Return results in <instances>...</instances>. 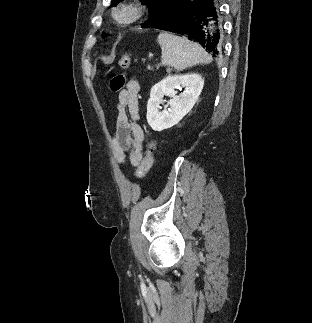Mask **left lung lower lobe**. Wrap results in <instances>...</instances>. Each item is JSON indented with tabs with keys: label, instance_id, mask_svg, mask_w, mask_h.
I'll use <instances>...</instances> for the list:
<instances>
[{
	"label": "left lung lower lobe",
	"instance_id": "left-lung-lower-lobe-1",
	"mask_svg": "<svg viewBox=\"0 0 312 323\" xmlns=\"http://www.w3.org/2000/svg\"><path fill=\"white\" fill-rule=\"evenodd\" d=\"M156 29L185 35L213 57L223 52L219 0H175L170 13Z\"/></svg>",
	"mask_w": 312,
	"mask_h": 323
}]
</instances>
